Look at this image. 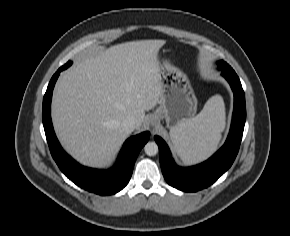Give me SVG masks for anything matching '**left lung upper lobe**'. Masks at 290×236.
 Returning <instances> with one entry per match:
<instances>
[{
    "instance_id": "1",
    "label": "left lung upper lobe",
    "mask_w": 290,
    "mask_h": 236,
    "mask_svg": "<svg viewBox=\"0 0 290 236\" xmlns=\"http://www.w3.org/2000/svg\"><path fill=\"white\" fill-rule=\"evenodd\" d=\"M218 67L219 69L221 70H224V69H232L226 62L224 61H219L218 63Z\"/></svg>"
}]
</instances>
